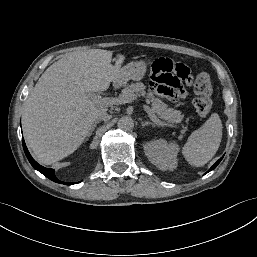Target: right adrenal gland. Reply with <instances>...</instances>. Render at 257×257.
<instances>
[{"label":"right adrenal gland","mask_w":257,"mask_h":257,"mask_svg":"<svg viewBox=\"0 0 257 257\" xmlns=\"http://www.w3.org/2000/svg\"><path fill=\"white\" fill-rule=\"evenodd\" d=\"M99 122H100L99 120L94 122V124L92 125V128H91L90 132L88 133L87 138L85 139V141H87L89 139V137L92 135L93 131L95 130V128H96V126L98 125Z\"/></svg>","instance_id":"1"}]
</instances>
